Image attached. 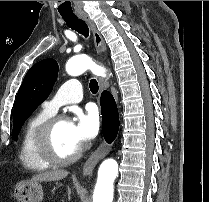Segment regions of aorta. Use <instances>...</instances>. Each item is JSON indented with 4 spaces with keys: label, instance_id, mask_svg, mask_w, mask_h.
I'll use <instances>...</instances> for the list:
<instances>
[{
    "label": "aorta",
    "instance_id": "762f6f07",
    "mask_svg": "<svg viewBox=\"0 0 209 202\" xmlns=\"http://www.w3.org/2000/svg\"><path fill=\"white\" fill-rule=\"evenodd\" d=\"M66 72L70 76H78L93 68V62L86 55L70 58L66 63ZM98 74L103 75L101 69ZM118 175V163L114 159L104 160L98 170L97 182L93 193V202H112L114 196V181Z\"/></svg>",
    "mask_w": 209,
    "mask_h": 202
}]
</instances>
